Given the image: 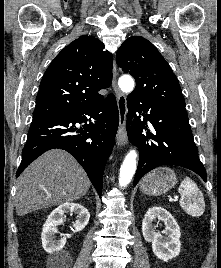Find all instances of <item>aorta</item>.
<instances>
[{
    "label": "aorta",
    "mask_w": 221,
    "mask_h": 268,
    "mask_svg": "<svg viewBox=\"0 0 221 268\" xmlns=\"http://www.w3.org/2000/svg\"><path fill=\"white\" fill-rule=\"evenodd\" d=\"M118 85L120 89L125 93H130L134 89V80L129 75H123L119 78ZM136 159L137 153L135 150H131L125 157L123 164L120 168L119 185L120 187H126L132 180L136 171Z\"/></svg>",
    "instance_id": "aorta-1"
}]
</instances>
